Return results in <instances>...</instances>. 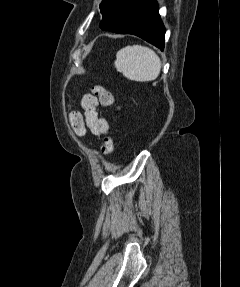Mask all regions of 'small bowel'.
<instances>
[{"mask_svg": "<svg viewBox=\"0 0 240 287\" xmlns=\"http://www.w3.org/2000/svg\"><path fill=\"white\" fill-rule=\"evenodd\" d=\"M84 110L86 127L98 138L108 133L109 125L105 118L98 112L99 100L90 93L83 95L80 101Z\"/></svg>", "mask_w": 240, "mask_h": 287, "instance_id": "obj_1", "label": "small bowel"}]
</instances>
